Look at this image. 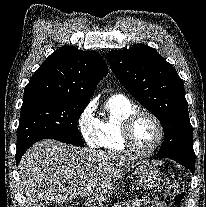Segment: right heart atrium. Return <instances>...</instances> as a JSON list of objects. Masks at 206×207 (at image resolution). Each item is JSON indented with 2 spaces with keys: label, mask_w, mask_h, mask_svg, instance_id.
Masks as SVG:
<instances>
[{
  "label": "right heart atrium",
  "mask_w": 206,
  "mask_h": 207,
  "mask_svg": "<svg viewBox=\"0 0 206 207\" xmlns=\"http://www.w3.org/2000/svg\"><path fill=\"white\" fill-rule=\"evenodd\" d=\"M77 126L85 143L90 147H96L98 145V120L94 115L92 103L86 105L80 112Z\"/></svg>",
  "instance_id": "1"
}]
</instances>
